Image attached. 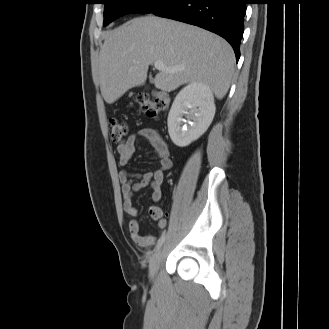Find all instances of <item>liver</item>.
<instances>
[{"label":"liver","instance_id":"6515ba94","mask_svg":"<svg viewBox=\"0 0 329 329\" xmlns=\"http://www.w3.org/2000/svg\"><path fill=\"white\" fill-rule=\"evenodd\" d=\"M162 61L155 86L170 92L186 83L207 85L222 99L231 84L235 55L223 38L199 27L147 15L108 31L100 53V89L108 104L143 85L148 67Z\"/></svg>","mask_w":329,"mask_h":329}]
</instances>
